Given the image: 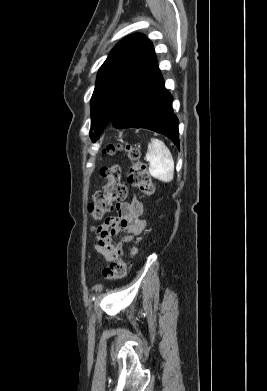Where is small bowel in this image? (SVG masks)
Here are the masks:
<instances>
[{"mask_svg":"<svg viewBox=\"0 0 267 391\" xmlns=\"http://www.w3.org/2000/svg\"><path fill=\"white\" fill-rule=\"evenodd\" d=\"M117 212L118 217L106 219L98 229L95 249L106 263L121 257L122 243L133 242L146 228V222L141 219L143 204L136 197L131 202L118 203ZM121 232H124L125 236L119 243H114L112 237Z\"/></svg>","mask_w":267,"mask_h":391,"instance_id":"obj_1","label":"small bowel"}]
</instances>
